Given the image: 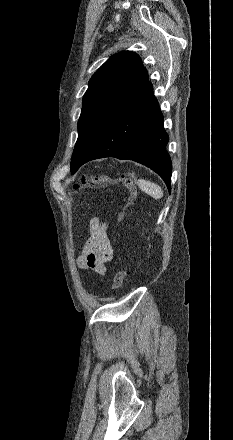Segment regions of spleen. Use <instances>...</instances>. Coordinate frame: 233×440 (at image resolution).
I'll use <instances>...</instances> for the list:
<instances>
[{
    "mask_svg": "<svg viewBox=\"0 0 233 440\" xmlns=\"http://www.w3.org/2000/svg\"><path fill=\"white\" fill-rule=\"evenodd\" d=\"M138 187L154 199H161L163 191L159 185L148 180L139 179L137 181Z\"/></svg>",
    "mask_w": 233,
    "mask_h": 440,
    "instance_id": "1",
    "label": "spleen"
}]
</instances>
